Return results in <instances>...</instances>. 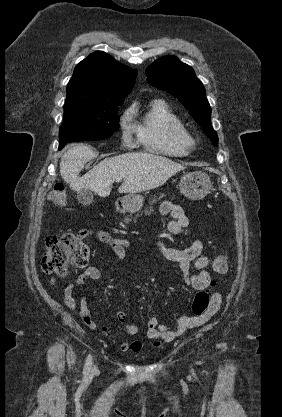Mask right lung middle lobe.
Segmentation results:
<instances>
[{
  "instance_id": "right-lung-middle-lobe-1",
  "label": "right lung middle lobe",
  "mask_w": 282,
  "mask_h": 417,
  "mask_svg": "<svg viewBox=\"0 0 282 417\" xmlns=\"http://www.w3.org/2000/svg\"><path fill=\"white\" fill-rule=\"evenodd\" d=\"M124 98L114 94L67 95L59 145L109 138L119 128L117 112Z\"/></svg>"
}]
</instances>
